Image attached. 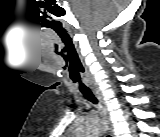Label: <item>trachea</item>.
<instances>
[{
  "label": "trachea",
  "mask_w": 160,
  "mask_h": 137,
  "mask_svg": "<svg viewBox=\"0 0 160 137\" xmlns=\"http://www.w3.org/2000/svg\"><path fill=\"white\" fill-rule=\"evenodd\" d=\"M68 49L70 50L69 52L71 54H73L74 58L70 61V68L72 69V71H74V74L71 75V79L73 80L74 83H78L79 85V89L82 92V94L84 95V97L89 100L90 102L97 104L98 101L95 98V96L93 95V93L89 90H87L86 85L84 84V82L82 81L80 72H84V69L82 67V64L76 54V51L73 47V45H67ZM110 137V136H108Z\"/></svg>",
  "instance_id": "3493384b"
}]
</instances>
